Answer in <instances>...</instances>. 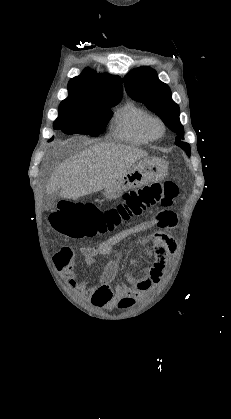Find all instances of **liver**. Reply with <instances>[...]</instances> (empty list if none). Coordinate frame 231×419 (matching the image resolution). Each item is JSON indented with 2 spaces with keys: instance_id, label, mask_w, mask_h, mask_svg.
Returning a JSON list of instances; mask_svg holds the SVG:
<instances>
[{
  "instance_id": "liver-1",
  "label": "liver",
  "mask_w": 231,
  "mask_h": 419,
  "mask_svg": "<svg viewBox=\"0 0 231 419\" xmlns=\"http://www.w3.org/2000/svg\"><path fill=\"white\" fill-rule=\"evenodd\" d=\"M147 156L144 150L123 144L89 146L54 170L46 192L52 194L59 190L62 198L77 200L111 186L138 160Z\"/></svg>"
}]
</instances>
